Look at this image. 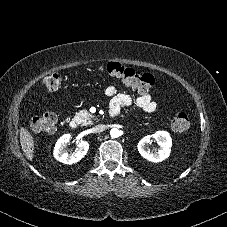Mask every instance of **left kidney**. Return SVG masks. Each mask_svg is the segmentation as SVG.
Segmentation results:
<instances>
[{
  "mask_svg": "<svg viewBox=\"0 0 227 227\" xmlns=\"http://www.w3.org/2000/svg\"><path fill=\"white\" fill-rule=\"evenodd\" d=\"M151 139H155L160 145L157 152H150L149 143ZM172 139L170 134L166 131H157L152 135L143 137L138 143V151L141 156L151 162H161L167 159L171 153Z\"/></svg>",
  "mask_w": 227,
  "mask_h": 227,
  "instance_id": "1",
  "label": "left kidney"
}]
</instances>
